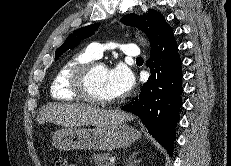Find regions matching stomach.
<instances>
[{
	"instance_id": "1",
	"label": "stomach",
	"mask_w": 231,
	"mask_h": 166,
	"mask_svg": "<svg viewBox=\"0 0 231 166\" xmlns=\"http://www.w3.org/2000/svg\"><path fill=\"white\" fill-rule=\"evenodd\" d=\"M140 131L125 123L106 128L68 127L53 133L52 145L60 151L126 148L140 139Z\"/></svg>"
}]
</instances>
